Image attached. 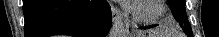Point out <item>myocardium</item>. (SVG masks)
Instances as JSON below:
<instances>
[{"label": "myocardium", "mask_w": 219, "mask_h": 37, "mask_svg": "<svg viewBox=\"0 0 219 37\" xmlns=\"http://www.w3.org/2000/svg\"><path fill=\"white\" fill-rule=\"evenodd\" d=\"M138 2V1H137ZM164 0H154L155 9L148 14H142L138 12L134 7L129 8V13L131 14L132 19L136 23H152L160 18L164 12Z\"/></svg>", "instance_id": "myocardium-1"}]
</instances>
